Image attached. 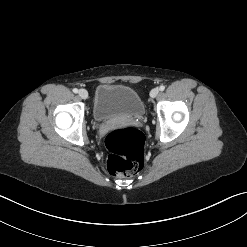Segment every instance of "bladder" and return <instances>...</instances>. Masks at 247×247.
Instances as JSON below:
<instances>
[{"label": "bladder", "mask_w": 247, "mask_h": 247, "mask_svg": "<svg viewBox=\"0 0 247 247\" xmlns=\"http://www.w3.org/2000/svg\"><path fill=\"white\" fill-rule=\"evenodd\" d=\"M144 113V103L133 88L119 84H100L97 87L92 107L95 121L140 118Z\"/></svg>", "instance_id": "1"}]
</instances>
